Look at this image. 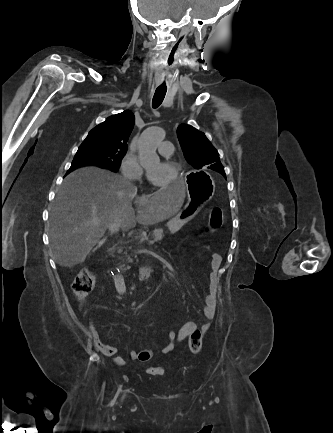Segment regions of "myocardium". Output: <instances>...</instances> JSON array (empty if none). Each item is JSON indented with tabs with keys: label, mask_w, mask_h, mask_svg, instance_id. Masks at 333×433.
<instances>
[{
	"label": "myocardium",
	"mask_w": 333,
	"mask_h": 433,
	"mask_svg": "<svg viewBox=\"0 0 333 433\" xmlns=\"http://www.w3.org/2000/svg\"><path fill=\"white\" fill-rule=\"evenodd\" d=\"M163 163L172 169L173 174L171 179L166 183H156L154 181H152V183L158 188H169L174 186L177 183L179 166L177 163L169 159H165Z\"/></svg>",
	"instance_id": "f54148a6"
}]
</instances>
